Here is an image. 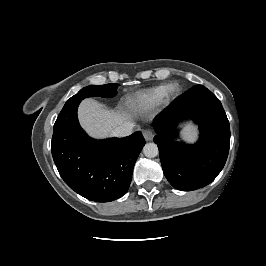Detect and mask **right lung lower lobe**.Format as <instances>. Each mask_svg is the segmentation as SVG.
<instances>
[{"mask_svg":"<svg viewBox=\"0 0 266 266\" xmlns=\"http://www.w3.org/2000/svg\"><path fill=\"white\" fill-rule=\"evenodd\" d=\"M79 103L58 115L52 156L60 176L71 189L88 200L110 202L127 192L145 140L140 132L124 138H90L78 122Z\"/></svg>","mask_w":266,"mask_h":266,"instance_id":"1","label":"right lung lower lobe"}]
</instances>
